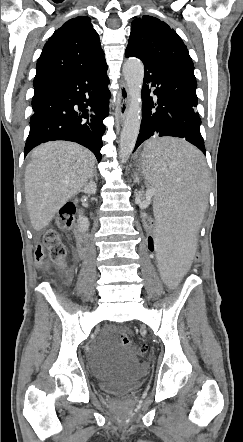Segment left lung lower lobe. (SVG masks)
Wrapping results in <instances>:
<instances>
[{
	"label": "left lung lower lobe",
	"instance_id": "left-lung-lower-lobe-1",
	"mask_svg": "<svg viewBox=\"0 0 243 442\" xmlns=\"http://www.w3.org/2000/svg\"><path fill=\"white\" fill-rule=\"evenodd\" d=\"M125 56L139 58L145 68L142 122L134 151L149 138L172 136L186 139L205 154L194 69L149 59L130 48ZM152 87L156 101L150 97Z\"/></svg>",
	"mask_w": 243,
	"mask_h": 442
}]
</instances>
